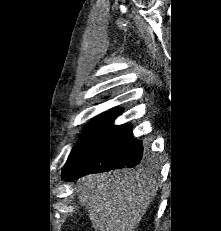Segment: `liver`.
I'll return each instance as SVG.
<instances>
[{
    "instance_id": "obj_1",
    "label": "liver",
    "mask_w": 221,
    "mask_h": 231,
    "mask_svg": "<svg viewBox=\"0 0 221 231\" xmlns=\"http://www.w3.org/2000/svg\"><path fill=\"white\" fill-rule=\"evenodd\" d=\"M79 202L96 231H134L157 192L152 175L138 170L89 174L76 182Z\"/></svg>"
}]
</instances>
